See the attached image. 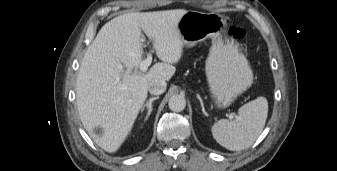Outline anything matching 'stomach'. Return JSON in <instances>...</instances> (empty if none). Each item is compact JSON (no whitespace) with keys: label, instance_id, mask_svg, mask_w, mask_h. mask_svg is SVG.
I'll return each instance as SVG.
<instances>
[{"label":"stomach","instance_id":"obj_1","mask_svg":"<svg viewBox=\"0 0 337 171\" xmlns=\"http://www.w3.org/2000/svg\"><path fill=\"white\" fill-rule=\"evenodd\" d=\"M177 28L187 47L212 39L206 60L209 90L217 107L226 108L253 82V72L239 45L226 36V18L218 13L187 11Z\"/></svg>","mask_w":337,"mask_h":171}]
</instances>
